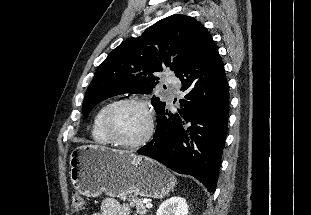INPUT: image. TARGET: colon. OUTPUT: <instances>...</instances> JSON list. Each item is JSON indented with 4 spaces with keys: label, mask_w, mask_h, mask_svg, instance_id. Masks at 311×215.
<instances>
[{
    "label": "colon",
    "mask_w": 311,
    "mask_h": 215,
    "mask_svg": "<svg viewBox=\"0 0 311 215\" xmlns=\"http://www.w3.org/2000/svg\"><path fill=\"white\" fill-rule=\"evenodd\" d=\"M71 207H72V210L75 212L83 211L86 207L84 198L78 193H74L72 195Z\"/></svg>",
    "instance_id": "obj_1"
}]
</instances>
